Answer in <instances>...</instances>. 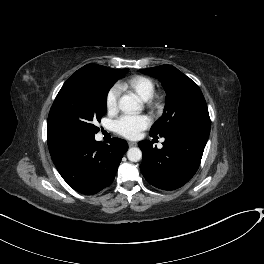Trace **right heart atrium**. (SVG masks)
I'll use <instances>...</instances> for the list:
<instances>
[{
    "label": "right heart atrium",
    "mask_w": 264,
    "mask_h": 264,
    "mask_svg": "<svg viewBox=\"0 0 264 264\" xmlns=\"http://www.w3.org/2000/svg\"><path fill=\"white\" fill-rule=\"evenodd\" d=\"M121 91L117 86L112 87L106 95V108L108 112L115 113L118 110Z\"/></svg>",
    "instance_id": "obj_1"
}]
</instances>
